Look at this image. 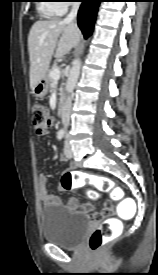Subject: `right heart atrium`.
<instances>
[{
	"label": "right heart atrium",
	"mask_w": 158,
	"mask_h": 275,
	"mask_svg": "<svg viewBox=\"0 0 158 275\" xmlns=\"http://www.w3.org/2000/svg\"><path fill=\"white\" fill-rule=\"evenodd\" d=\"M55 2H59L56 3L57 8H59L62 13H65L71 5V2H75V0H57Z\"/></svg>",
	"instance_id": "1"
}]
</instances>
